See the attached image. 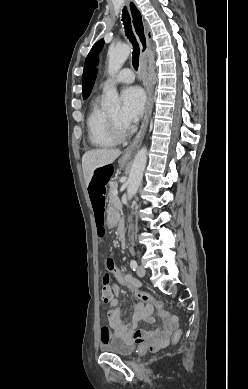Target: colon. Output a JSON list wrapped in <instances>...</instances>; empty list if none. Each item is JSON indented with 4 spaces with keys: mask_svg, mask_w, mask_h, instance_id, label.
Segmentation results:
<instances>
[{
    "mask_svg": "<svg viewBox=\"0 0 248 389\" xmlns=\"http://www.w3.org/2000/svg\"><path fill=\"white\" fill-rule=\"evenodd\" d=\"M100 171L96 172V175L93 176V179H89L88 184V192H89V199L91 202V206L94 211L95 218H97V224H98V234L100 237L104 236V228H103V215H104V202H105V195L104 192H106L107 187L109 185V182L111 180V177L113 176V171L111 165H101L99 167ZM105 265L108 271H106L102 276V299L103 302L107 304V302L111 298L110 293V283H111V277L109 274H112L115 280L117 282H114L112 284V294L115 298H120L122 296V293L120 292L122 288H126L128 291H131L132 295L143 301L144 303H147L150 308L152 309H159L161 310L164 307V303L162 301L155 300L151 295L148 293H145L139 289H137V286L133 284L132 281H126L125 275L122 273V268L117 267L116 264H114L113 259L111 257H108L105 261ZM183 335L182 330H178L174 336L173 341L177 342Z\"/></svg>",
    "mask_w": 248,
    "mask_h": 389,
    "instance_id": "5ec220e1",
    "label": "colon"
}]
</instances>
